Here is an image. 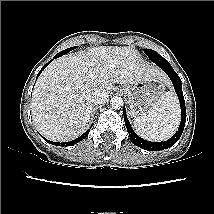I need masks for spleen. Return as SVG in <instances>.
I'll use <instances>...</instances> for the list:
<instances>
[{"label":"spleen","mask_w":214,"mask_h":214,"mask_svg":"<svg viewBox=\"0 0 214 214\" xmlns=\"http://www.w3.org/2000/svg\"><path fill=\"white\" fill-rule=\"evenodd\" d=\"M180 123L178 99L173 92H165L146 113L137 116L133 125L138 135L150 141L171 137Z\"/></svg>","instance_id":"3e777b00"}]
</instances>
